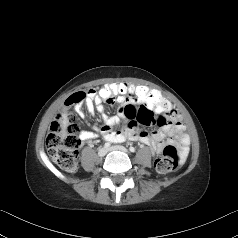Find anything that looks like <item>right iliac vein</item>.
I'll return each mask as SVG.
<instances>
[{"instance_id":"63e3f726","label":"right iliac vein","mask_w":238,"mask_h":238,"mask_svg":"<svg viewBox=\"0 0 238 238\" xmlns=\"http://www.w3.org/2000/svg\"><path fill=\"white\" fill-rule=\"evenodd\" d=\"M107 154V149L105 147L99 148L98 150V156L104 157Z\"/></svg>"}]
</instances>
